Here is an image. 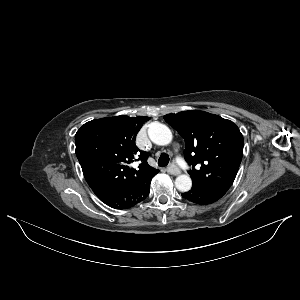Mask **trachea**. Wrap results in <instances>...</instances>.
Wrapping results in <instances>:
<instances>
[{
	"label": "trachea",
	"instance_id": "3493384b",
	"mask_svg": "<svg viewBox=\"0 0 300 300\" xmlns=\"http://www.w3.org/2000/svg\"><path fill=\"white\" fill-rule=\"evenodd\" d=\"M169 156L166 153H162L158 159V165L161 167L167 166L169 163Z\"/></svg>",
	"mask_w": 300,
	"mask_h": 300
}]
</instances>
